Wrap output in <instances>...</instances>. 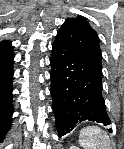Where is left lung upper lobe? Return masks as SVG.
<instances>
[{"mask_svg": "<svg viewBox=\"0 0 124 149\" xmlns=\"http://www.w3.org/2000/svg\"><path fill=\"white\" fill-rule=\"evenodd\" d=\"M58 34L94 65L102 69L99 37L84 17L67 18Z\"/></svg>", "mask_w": 124, "mask_h": 149, "instance_id": "obj_1", "label": "left lung upper lobe"}]
</instances>
